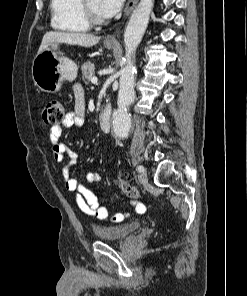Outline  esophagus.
<instances>
[{"mask_svg": "<svg viewBox=\"0 0 247 296\" xmlns=\"http://www.w3.org/2000/svg\"><path fill=\"white\" fill-rule=\"evenodd\" d=\"M138 0H128L125 10H124V19L131 13V11L134 9L136 6ZM120 28H117L116 31L113 34L108 35L105 38V42L108 44H114L116 43V36L119 33Z\"/></svg>", "mask_w": 247, "mask_h": 296, "instance_id": "obj_1", "label": "esophagus"}]
</instances>
